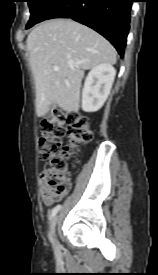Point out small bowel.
<instances>
[{
	"label": "small bowel",
	"instance_id": "obj_1",
	"mask_svg": "<svg viewBox=\"0 0 158 275\" xmlns=\"http://www.w3.org/2000/svg\"><path fill=\"white\" fill-rule=\"evenodd\" d=\"M43 202H44V204H46V205L52 204V200H49V199H47V198H44V199H43Z\"/></svg>",
	"mask_w": 158,
	"mask_h": 275
}]
</instances>
